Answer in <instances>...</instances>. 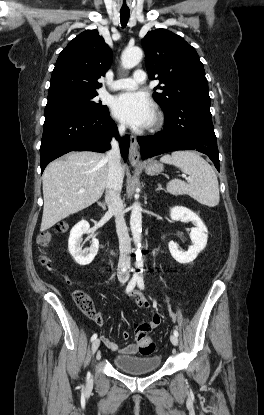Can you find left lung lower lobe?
I'll list each match as a JSON object with an SVG mask.
<instances>
[{
	"mask_svg": "<svg viewBox=\"0 0 264 415\" xmlns=\"http://www.w3.org/2000/svg\"><path fill=\"white\" fill-rule=\"evenodd\" d=\"M210 101L187 99L165 111L162 131L137 137L142 159L176 150L206 154L219 170V152L210 113Z\"/></svg>",
	"mask_w": 264,
	"mask_h": 415,
	"instance_id": "obj_1",
	"label": "left lung lower lobe"
}]
</instances>
